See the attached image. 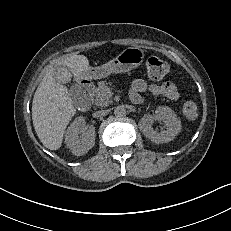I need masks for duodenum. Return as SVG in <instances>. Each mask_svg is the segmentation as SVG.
Instances as JSON below:
<instances>
[{
	"label": "duodenum",
	"mask_w": 231,
	"mask_h": 231,
	"mask_svg": "<svg viewBox=\"0 0 231 231\" xmlns=\"http://www.w3.org/2000/svg\"><path fill=\"white\" fill-rule=\"evenodd\" d=\"M81 88L83 91L82 97H81V106L83 109H87L90 105V99L92 94L94 93V85L89 80H84L81 82Z\"/></svg>",
	"instance_id": "1"
}]
</instances>
